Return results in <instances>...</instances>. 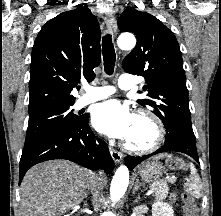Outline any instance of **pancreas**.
<instances>
[{
	"mask_svg": "<svg viewBox=\"0 0 221 216\" xmlns=\"http://www.w3.org/2000/svg\"><path fill=\"white\" fill-rule=\"evenodd\" d=\"M152 188L154 190L155 197L157 200H163L167 197L169 187L166 185V183L162 182L158 185L156 184L152 186Z\"/></svg>",
	"mask_w": 221,
	"mask_h": 216,
	"instance_id": "cf45deb5",
	"label": "pancreas"
}]
</instances>
